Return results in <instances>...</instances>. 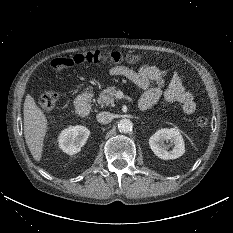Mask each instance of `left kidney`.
<instances>
[{
	"label": "left kidney",
	"mask_w": 233,
	"mask_h": 233,
	"mask_svg": "<svg viewBox=\"0 0 233 233\" xmlns=\"http://www.w3.org/2000/svg\"><path fill=\"white\" fill-rule=\"evenodd\" d=\"M164 141H170L173 149L169 151ZM149 145L154 154L164 160L179 158L185 152L184 140L176 128L159 129L150 137Z\"/></svg>",
	"instance_id": "1"
}]
</instances>
